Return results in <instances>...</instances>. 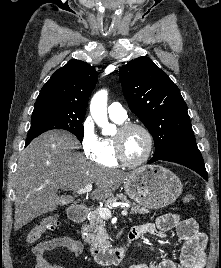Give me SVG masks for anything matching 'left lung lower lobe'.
Returning <instances> with one entry per match:
<instances>
[{"label":"left lung lower lobe","mask_w":221,"mask_h":268,"mask_svg":"<svg viewBox=\"0 0 221 268\" xmlns=\"http://www.w3.org/2000/svg\"><path fill=\"white\" fill-rule=\"evenodd\" d=\"M158 160L175 162L186 166L198 174L205 180H208L202 155L197 147L196 141L185 142L172 148L167 154L161 157H153L148 161V164Z\"/></svg>","instance_id":"left-lung-lower-lobe-1"}]
</instances>
